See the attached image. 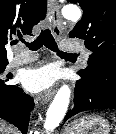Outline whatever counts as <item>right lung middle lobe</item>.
Listing matches in <instances>:
<instances>
[{"label":"right lung middle lobe","instance_id":"1","mask_svg":"<svg viewBox=\"0 0 116 134\" xmlns=\"http://www.w3.org/2000/svg\"><path fill=\"white\" fill-rule=\"evenodd\" d=\"M7 65L8 62H0V98L11 95L17 87V85H11L8 83L11 77L9 75H5Z\"/></svg>","mask_w":116,"mask_h":134}]
</instances>
